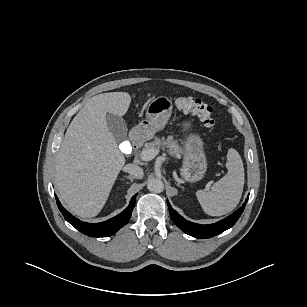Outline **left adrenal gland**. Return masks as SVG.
<instances>
[{"instance_id":"left-adrenal-gland-1","label":"left adrenal gland","mask_w":307,"mask_h":307,"mask_svg":"<svg viewBox=\"0 0 307 307\" xmlns=\"http://www.w3.org/2000/svg\"><path fill=\"white\" fill-rule=\"evenodd\" d=\"M177 186H179V187H180L179 183H177Z\"/></svg>"}]
</instances>
